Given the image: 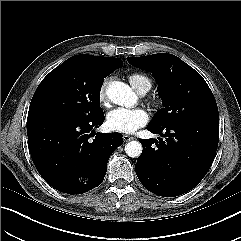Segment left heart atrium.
Instances as JSON below:
<instances>
[{
	"mask_svg": "<svg viewBox=\"0 0 241 241\" xmlns=\"http://www.w3.org/2000/svg\"><path fill=\"white\" fill-rule=\"evenodd\" d=\"M148 121L146 111L141 108H116L107 115L109 129L121 133H133Z\"/></svg>",
	"mask_w": 241,
	"mask_h": 241,
	"instance_id": "1",
	"label": "left heart atrium"
}]
</instances>
